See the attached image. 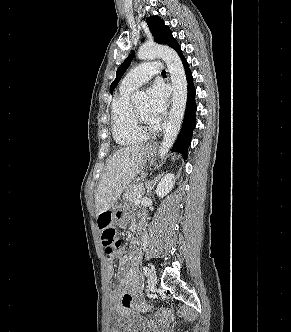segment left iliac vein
<instances>
[{
	"mask_svg": "<svg viewBox=\"0 0 291 332\" xmlns=\"http://www.w3.org/2000/svg\"><path fill=\"white\" fill-rule=\"evenodd\" d=\"M156 283H157L156 272L153 268H151L149 270V273H148V286H149V288L154 289Z\"/></svg>",
	"mask_w": 291,
	"mask_h": 332,
	"instance_id": "4c4485c4",
	"label": "left iliac vein"
}]
</instances>
